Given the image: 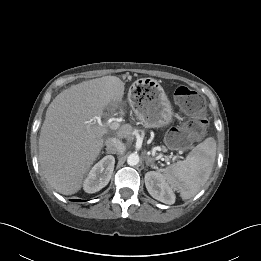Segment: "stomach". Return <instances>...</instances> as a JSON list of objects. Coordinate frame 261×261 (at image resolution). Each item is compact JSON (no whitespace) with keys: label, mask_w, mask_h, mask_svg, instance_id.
Masks as SVG:
<instances>
[{"label":"stomach","mask_w":261,"mask_h":261,"mask_svg":"<svg viewBox=\"0 0 261 261\" xmlns=\"http://www.w3.org/2000/svg\"><path fill=\"white\" fill-rule=\"evenodd\" d=\"M145 81V80H144ZM142 98L132 97V105L143 125L147 128H161L173 120V108L161 84L150 79L145 84Z\"/></svg>","instance_id":"obj_1"}]
</instances>
